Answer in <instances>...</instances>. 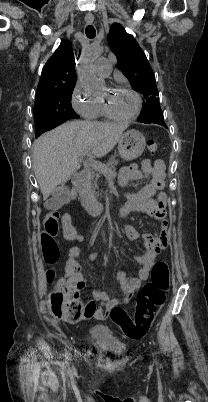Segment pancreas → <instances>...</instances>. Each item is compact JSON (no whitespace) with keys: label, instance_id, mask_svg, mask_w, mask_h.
Wrapping results in <instances>:
<instances>
[{"label":"pancreas","instance_id":"cf45deb5","mask_svg":"<svg viewBox=\"0 0 208 402\" xmlns=\"http://www.w3.org/2000/svg\"><path fill=\"white\" fill-rule=\"evenodd\" d=\"M118 160H115V156L113 158H110L109 162L107 164H101L102 168L100 170H85L87 174L88 180L84 182V186L82 188H77L79 196H82V198H87L89 194H92V196H95V198H98L100 196L99 192H96L98 190L99 186L97 184L99 178H101V174H103L102 170H115V166H117Z\"/></svg>","mask_w":208,"mask_h":402}]
</instances>
